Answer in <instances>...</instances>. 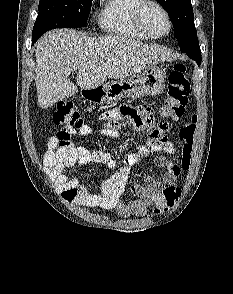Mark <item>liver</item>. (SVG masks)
<instances>
[{
  "label": "liver",
  "mask_w": 233,
  "mask_h": 294,
  "mask_svg": "<svg viewBox=\"0 0 233 294\" xmlns=\"http://www.w3.org/2000/svg\"><path fill=\"white\" fill-rule=\"evenodd\" d=\"M35 57L38 105L45 109L75 95L78 87L95 89L108 78H127L158 62L171 60L173 55L155 44L120 36L88 37L62 29L41 37ZM75 70L77 85L69 79Z\"/></svg>",
  "instance_id": "6515ba94"
}]
</instances>
